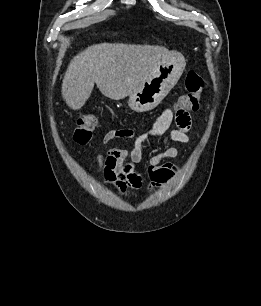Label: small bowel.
<instances>
[{
  "instance_id": "1",
  "label": "small bowel",
  "mask_w": 261,
  "mask_h": 306,
  "mask_svg": "<svg viewBox=\"0 0 261 306\" xmlns=\"http://www.w3.org/2000/svg\"><path fill=\"white\" fill-rule=\"evenodd\" d=\"M173 120H175L176 126L171 128ZM190 127L191 119L187 112L176 111L174 113L170 109L164 110L151 128L134 139V146L130 151L111 148L107 152L103 162V175L106 182L113 185L120 194H124L130 189L139 188L144 176L151 180L152 191L170 182L179 168L166 160L176 158L179 155L177 147L171 146L152 155L147 161L144 173L139 172L136 165L142 160L143 146L148 140L167 137L173 142L186 144L189 142L188 131ZM130 136H132V132L128 129H114L106 133L104 141L107 143L114 139Z\"/></svg>"
}]
</instances>
